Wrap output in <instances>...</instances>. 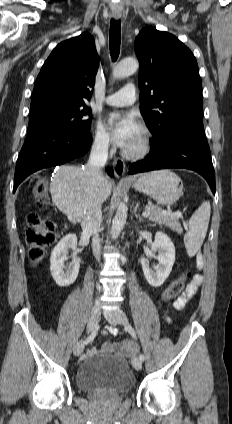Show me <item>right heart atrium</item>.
<instances>
[{"label":"right heart atrium","instance_id":"d8ad5b80","mask_svg":"<svg viewBox=\"0 0 232 424\" xmlns=\"http://www.w3.org/2000/svg\"><path fill=\"white\" fill-rule=\"evenodd\" d=\"M92 146L100 153H107L110 149V137L101 123H95L92 129Z\"/></svg>","mask_w":232,"mask_h":424}]
</instances>
